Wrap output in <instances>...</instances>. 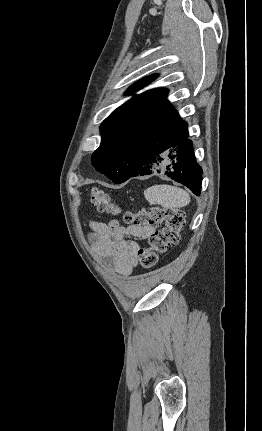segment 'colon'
I'll return each mask as SVG.
<instances>
[{
	"mask_svg": "<svg viewBox=\"0 0 262 431\" xmlns=\"http://www.w3.org/2000/svg\"><path fill=\"white\" fill-rule=\"evenodd\" d=\"M90 197L92 204L99 212L111 214L122 212L121 207L97 187L90 190ZM123 218L126 223L132 226L158 228L153 232L149 246L138 252L139 264L143 268L150 269L157 264L159 254L165 253L170 246L178 243L179 232L184 222V213L175 208L153 207L138 211H125Z\"/></svg>",
	"mask_w": 262,
	"mask_h": 431,
	"instance_id": "1",
	"label": "colon"
}]
</instances>
